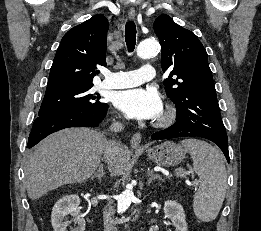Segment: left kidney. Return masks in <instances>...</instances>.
Masks as SVG:
<instances>
[{
  "instance_id": "left-kidney-1",
  "label": "left kidney",
  "mask_w": 261,
  "mask_h": 231,
  "mask_svg": "<svg viewBox=\"0 0 261 231\" xmlns=\"http://www.w3.org/2000/svg\"><path fill=\"white\" fill-rule=\"evenodd\" d=\"M164 213L171 219L176 231H187L185 213L181 204L172 200L165 201ZM149 231H158V227L152 226Z\"/></svg>"
}]
</instances>
